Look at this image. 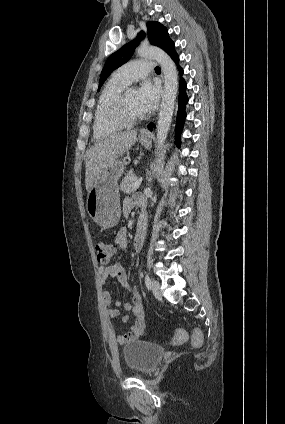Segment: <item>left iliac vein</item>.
<instances>
[{
	"label": "left iliac vein",
	"instance_id": "left-iliac-vein-1",
	"mask_svg": "<svg viewBox=\"0 0 285 424\" xmlns=\"http://www.w3.org/2000/svg\"><path fill=\"white\" fill-rule=\"evenodd\" d=\"M151 289H152V292H153V294H154V296H155L156 298H161V293H160V284H159V282H158V281L153 280V281L151 282Z\"/></svg>",
	"mask_w": 285,
	"mask_h": 424
}]
</instances>
